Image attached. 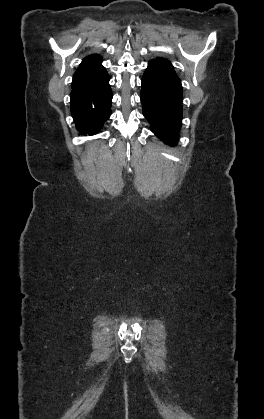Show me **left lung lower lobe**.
I'll list each match as a JSON object with an SVG mask.
<instances>
[{
    "mask_svg": "<svg viewBox=\"0 0 264 419\" xmlns=\"http://www.w3.org/2000/svg\"><path fill=\"white\" fill-rule=\"evenodd\" d=\"M140 98L151 131L165 143L174 145L181 127L182 86L169 61L156 58L148 63Z\"/></svg>",
    "mask_w": 264,
    "mask_h": 419,
    "instance_id": "0a47b994",
    "label": "left lung lower lobe"
}]
</instances>
